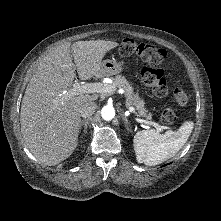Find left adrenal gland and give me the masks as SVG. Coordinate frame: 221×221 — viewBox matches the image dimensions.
Masks as SVG:
<instances>
[{
	"label": "left adrenal gland",
	"instance_id": "a2214340",
	"mask_svg": "<svg viewBox=\"0 0 221 221\" xmlns=\"http://www.w3.org/2000/svg\"><path fill=\"white\" fill-rule=\"evenodd\" d=\"M121 116H122V120H123V122H124V124H125L126 129H127L128 131H130L129 121H128L127 117H126L123 113L121 114Z\"/></svg>",
	"mask_w": 221,
	"mask_h": 221
}]
</instances>
